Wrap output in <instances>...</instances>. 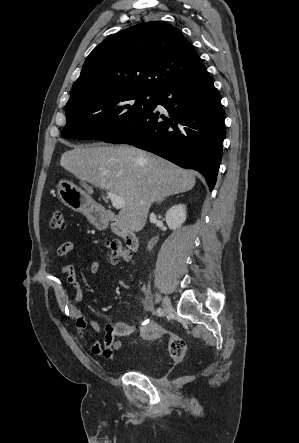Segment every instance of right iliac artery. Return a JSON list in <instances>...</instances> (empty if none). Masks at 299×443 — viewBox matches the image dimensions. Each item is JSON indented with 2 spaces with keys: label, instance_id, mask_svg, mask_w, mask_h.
I'll return each instance as SVG.
<instances>
[{
  "label": "right iliac artery",
  "instance_id": "obj_1",
  "mask_svg": "<svg viewBox=\"0 0 299 443\" xmlns=\"http://www.w3.org/2000/svg\"><path fill=\"white\" fill-rule=\"evenodd\" d=\"M156 313H157L158 316H161V315H163V310L161 308H158L156 310Z\"/></svg>",
  "mask_w": 299,
  "mask_h": 443
}]
</instances>
